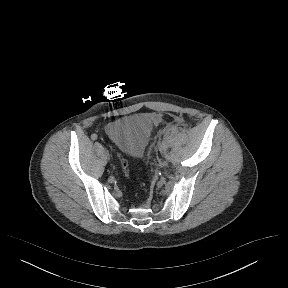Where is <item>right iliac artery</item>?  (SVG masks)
<instances>
[{
  "label": "right iliac artery",
  "instance_id": "obj_1",
  "mask_svg": "<svg viewBox=\"0 0 288 288\" xmlns=\"http://www.w3.org/2000/svg\"><path fill=\"white\" fill-rule=\"evenodd\" d=\"M91 139H92V140H96V139H97V135H96V134H92V135H91Z\"/></svg>",
  "mask_w": 288,
  "mask_h": 288
}]
</instances>
